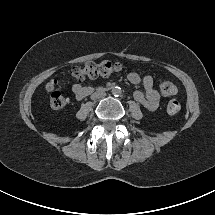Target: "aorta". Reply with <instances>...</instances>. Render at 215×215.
Returning <instances> with one entry per match:
<instances>
[{
  "mask_svg": "<svg viewBox=\"0 0 215 215\" xmlns=\"http://www.w3.org/2000/svg\"><path fill=\"white\" fill-rule=\"evenodd\" d=\"M111 92H112V95L115 96V97H118V96L121 95V90L119 88H117V87L113 88Z\"/></svg>",
  "mask_w": 215,
  "mask_h": 215,
  "instance_id": "obj_1",
  "label": "aorta"
}]
</instances>
